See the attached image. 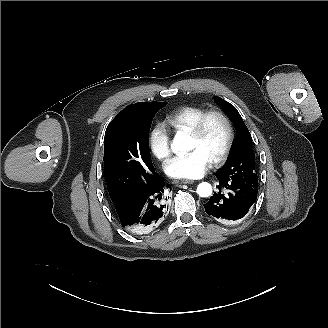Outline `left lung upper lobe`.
<instances>
[{
    "label": "left lung upper lobe",
    "mask_w": 328,
    "mask_h": 328,
    "mask_svg": "<svg viewBox=\"0 0 328 328\" xmlns=\"http://www.w3.org/2000/svg\"><path fill=\"white\" fill-rule=\"evenodd\" d=\"M215 100L238 129V136L230 150L229 157L216 174L228 179L258 182L255 169V154L252 149V137L241 115L232 104L222 98L215 97Z\"/></svg>",
    "instance_id": "left-lung-upper-lobe-1"
}]
</instances>
